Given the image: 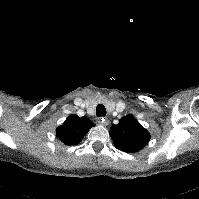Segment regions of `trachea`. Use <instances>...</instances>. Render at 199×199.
I'll list each match as a JSON object with an SVG mask.
<instances>
[{"mask_svg": "<svg viewBox=\"0 0 199 199\" xmlns=\"http://www.w3.org/2000/svg\"><path fill=\"white\" fill-rule=\"evenodd\" d=\"M96 115L97 116H106V108L102 104H98L96 107Z\"/></svg>", "mask_w": 199, "mask_h": 199, "instance_id": "trachea-1", "label": "trachea"}]
</instances>
